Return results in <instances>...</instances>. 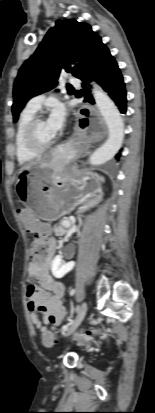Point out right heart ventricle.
Masks as SVG:
<instances>
[{
  "label": "right heart ventricle",
  "instance_id": "e07e8e85",
  "mask_svg": "<svg viewBox=\"0 0 155 413\" xmlns=\"http://www.w3.org/2000/svg\"><path fill=\"white\" fill-rule=\"evenodd\" d=\"M36 111L25 108L20 115L15 132V153L20 164L33 161L37 154L28 150L24 142V132L28 123L35 117Z\"/></svg>",
  "mask_w": 155,
  "mask_h": 413
}]
</instances>
